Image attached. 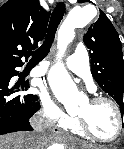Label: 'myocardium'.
I'll return each instance as SVG.
<instances>
[{"instance_id": "f54148a6", "label": "myocardium", "mask_w": 124, "mask_h": 149, "mask_svg": "<svg viewBox=\"0 0 124 149\" xmlns=\"http://www.w3.org/2000/svg\"><path fill=\"white\" fill-rule=\"evenodd\" d=\"M90 104L95 105L99 103H107L109 104L115 112V115L117 117V122H118V130L116 135L113 138L106 139V138H101L97 136L89 127L87 120L83 116H77V123L81 131L91 138L94 141L100 142V143H113L116 142L124 133V114L120 108V106L115 102L113 99L105 96H95L92 97L89 100Z\"/></svg>"}]
</instances>
